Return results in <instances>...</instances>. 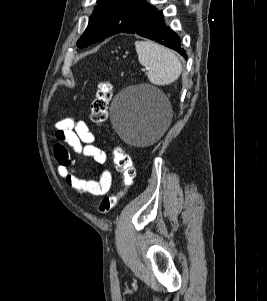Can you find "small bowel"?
Segmentation results:
<instances>
[{
    "instance_id": "small-bowel-1",
    "label": "small bowel",
    "mask_w": 267,
    "mask_h": 301,
    "mask_svg": "<svg viewBox=\"0 0 267 301\" xmlns=\"http://www.w3.org/2000/svg\"><path fill=\"white\" fill-rule=\"evenodd\" d=\"M54 156L58 162V173L67 186L81 195L102 196L112 186V174L104 169L99 180L84 179L74 174L75 160L70 157L64 144L68 145L77 155L89 157L98 165L107 161L106 152L96 146V137L83 121L63 118L55 124Z\"/></svg>"
}]
</instances>
